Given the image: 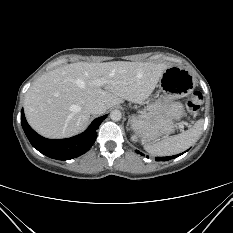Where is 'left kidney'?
<instances>
[{
  "label": "left kidney",
  "instance_id": "obj_1",
  "mask_svg": "<svg viewBox=\"0 0 233 233\" xmlns=\"http://www.w3.org/2000/svg\"><path fill=\"white\" fill-rule=\"evenodd\" d=\"M131 139H132L133 141H135L136 137H135V136H132Z\"/></svg>",
  "mask_w": 233,
  "mask_h": 233
}]
</instances>
